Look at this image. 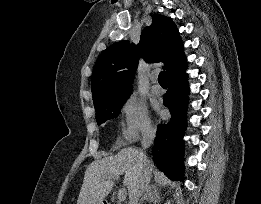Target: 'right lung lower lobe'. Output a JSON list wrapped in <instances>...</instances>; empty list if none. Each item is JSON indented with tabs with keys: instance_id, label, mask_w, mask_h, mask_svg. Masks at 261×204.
<instances>
[{
	"instance_id": "1",
	"label": "right lung lower lobe",
	"mask_w": 261,
	"mask_h": 204,
	"mask_svg": "<svg viewBox=\"0 0 261 204\" xmlns=\"http://www.w3.org/2000/svg\"><path fill=\"white\" fill-rule=\"evenodd\" d=\"M187 63L168 76L169 89L164 96V105L169 108L171 119L158 127L153 160L157 167L172 180H182L183 176V140L185 110L189 92Z\"/></svg>"
}]
</instances>
